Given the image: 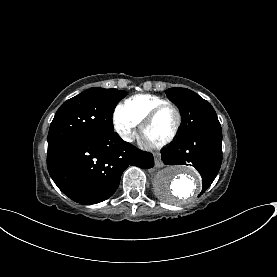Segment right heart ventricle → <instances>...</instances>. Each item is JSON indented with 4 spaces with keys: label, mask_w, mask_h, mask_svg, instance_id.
<instances>
[{
    "label": "right heart ventricle",
    "mask_w": 277,
    "mask_h": 277,
    "mask_svg": "<svg viewBox=\"0 0 277 277\" xmlns=\"http://www.w3.org/2000/svg\"><path fill=\"white\" fill-rule=\"evenodd\" d=\"M165 102H168V100L158 96L138 94L125 100L118 111L141 123L154 107Z\"/></svg>",
    "instance_id": "1"
}]
</instances>
